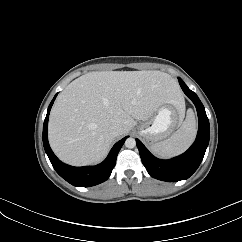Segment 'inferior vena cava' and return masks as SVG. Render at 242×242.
Segmentation results:
<instances>
[{
    "label": "inferior vena cava",
    "instance_id": "602c4592",
    "mask_svg": "<svg viewBox=\"0 0 242 242\" xmlns=\"http://www.w3.org/2000/svg\"><path fill=\"white\" fill-rule=\"evenodd\" d=\"M109 131L113 136H118L121 134L122 128L118 124H113L110 126Z\"/></svg>",
    "mask_w": 242,
    "mask_h": 242
}]
</instances>
